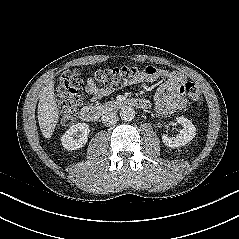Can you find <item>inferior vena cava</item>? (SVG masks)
<instances>
[{
	"mask_svg": "<svg viewBox=\"0 0 239 239\" xmlns=\"http://www.w3.org/2000/svg\"><path fill=\"white\" fill-rule=\"evenodd\" d=\"M101 120L105 126H113L117 123V121L119 120V117L114 112H108L102 116Z\"/></svg>",
	"mask_w": 239,
	"mask_h": 239,
	"instance_id": "1",
	"label": "inferior vena cava"
}]
</instances>
